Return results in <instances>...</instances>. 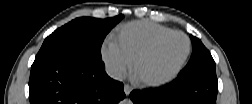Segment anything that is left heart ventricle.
<instances>
[{
    "label": "left heart ventricle",
    "instance_id": "b2bd125f",
    "mask_svg": "<svg viewBox=\"0 0 252 104\" xmlns=\"http://www.w3.org/2000/svg\"><path fill=\"white\" fill-rule=\"evenodd\" d=\"M186 48L184 37L175 38L165 49V57H146L137 65V72L141 76H148L158 71L160 64H170L180 59ZM165 60V61H164Z\"/></svg>",
    "mask_w": 252,
    "mask_h": 104
}]
</instances>
